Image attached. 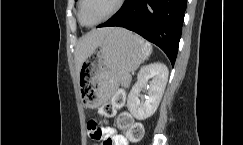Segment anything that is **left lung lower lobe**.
<instances>
[{
  "label": "left lung lower lobe",
  "instance_id": "left-lung-lower-lobe-1",
  "mask_svg": "<svg viewBox=\"0 0 243 145\" xmlns=\"http://www.w3.org/2000/svg\"><path fill=\"white\" fill-rule=\"evenodd\" d=\"M186 4L187 0H125L99 27L118 26L138 33L159 46L174 65Z\"/></svg>",
  "mask_w": 243,
  "mask_h": 145
}]
</instances>
